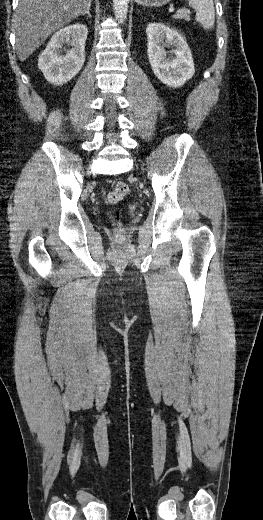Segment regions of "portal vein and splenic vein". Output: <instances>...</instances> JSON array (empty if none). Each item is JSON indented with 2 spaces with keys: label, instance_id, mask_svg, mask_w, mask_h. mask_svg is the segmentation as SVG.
<instances>
[{
  "label": "portal vein and splenic vein",
  "instance_id": "1",
  "mask_svg": "<svg viewBox=\"0 0 263 520\" xmlns=\"http://www.w3.org/2000/svg\"><path fill=\"white\" fill-rule=\"evenodd\" d=\"M169 11H170V12H174V7H173V6H170Z\"/></svg>",
  "mask_w": 263,
  "mask_h": 520
}]
</instances>
